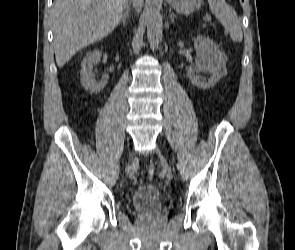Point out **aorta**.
<instances>
[{"instance_id": "1", "label": "aorta", "mask_w": 295, "mask_h": 250, "mask_svg": "<svg viewBox=\"0 0 295 250\" xmlns=\"http://www.w3.org/2000/svg\"><path fill=\"white\" fill-rule=\"evenodd\" d=\"M147 37L152 47H158L162 41L163 22L157 8H151L146 18Z\"/></svg>"}]
</instances>
